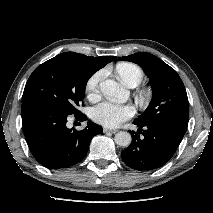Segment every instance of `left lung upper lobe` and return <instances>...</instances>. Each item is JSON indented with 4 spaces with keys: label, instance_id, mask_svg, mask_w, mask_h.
Wrapping results in <instances>:
<instances>
[{
    "label": "left lung upper lobe",
    "instance_id": "left-lung-upper-lobe-1",
    "mask_svg": "<svg viewBox=\"0 0 213 213\" xmlns=\"http://www.w3.org/2000/svg\"><path fill=\"white\" fill-rule=\"evenodd\" d=\"M119 60L140 65L149 76L152 87V100L135 121L140 124L169 122L187 128L188 97L178 73L161 59L146 52L120 57Z\"/></svg>",
    "mask_w": 213,
    "mask_h": 213
}]
</instances>
